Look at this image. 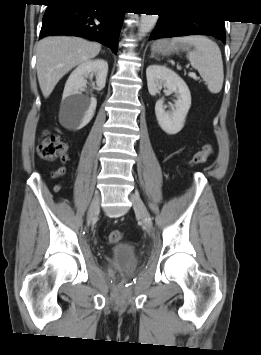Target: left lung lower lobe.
<instances>
[{"label":"left lung lower lobe","mask_w":261,"mask_h":355,"mask_svg":"<svg viewBox=\"0 0 261 355\" xmlns=\"http://www.w3.org/2000/svg\"><path fill=\"white\" fill-rule=\"evenodd\" d=\"M184 35H208L226 41L223 20L177 15H160L150 39Z\"/></svg>","instance_id":"1"}]
</instances>
